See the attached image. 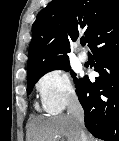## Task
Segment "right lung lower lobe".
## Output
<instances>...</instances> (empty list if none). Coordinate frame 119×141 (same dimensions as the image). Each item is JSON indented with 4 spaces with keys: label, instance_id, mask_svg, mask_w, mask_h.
I'll return each mask as SVG.
<instances>
[{
    "label": "right lung lower lobe",
    "instance_id": "obj_1",
    "mask_svg": "<svg viewBox=\"0 0 119 141\" xmlns=\"http://www.w3.org/2000/svg\"><path fill=\"white\" fill-rule=\"evenodd\" d=\"M100 76L76 82V93L85 112V126L93 136L119 141V17L105 24L90 45Z\"/></svg>",
    "mask_w": 119,
    "mask_h": 141
}]
</instances>
